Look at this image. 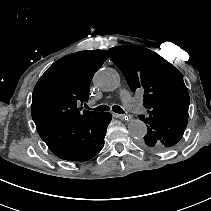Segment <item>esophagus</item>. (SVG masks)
Listing matches in <instances>:
<instances>
[{
    "instance_id": "1",
    "label": "esophagus",
    "mask_w": 211,
    "mask_h": 211,
    "mask_svg": "<svg viewBox=\"0 0 211 211\" xmlns=\"http://www.w3.org/2000/svg\"><path fill=\"white\" fill-rule=\"evenodd\" d=\"M115 116L117 118L123 119V121L128 122V123L131 122V120H132L130 116L125 115V114L116 113Z\"/></svg>"
}]
</instances>
